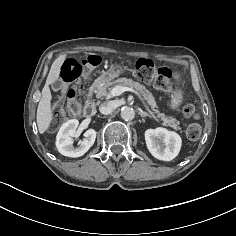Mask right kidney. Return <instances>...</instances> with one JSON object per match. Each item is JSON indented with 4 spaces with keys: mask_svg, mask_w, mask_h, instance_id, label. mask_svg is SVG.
I'll list each match as a JSON object with an SVG mask.
<instances>
[{
    "mask_svg": "<svg viewBox=\"0 0 236 236\" xmlns=\"http://www.w3.org/2000/svg\"><path fill=\"white\" fill-rule=\"evenodd\" d=\"M79 121L76 119L68 120L59 129L56 136V147L58 151L68 157H80L84 155L94 144L96 139V131L88 129L84 133V139L78 147L73 146V137L77 135Z\"/></svg>",
    "mask_w": 236,
    "mask_h": 236,
    "instance_id": "obj_1",
    "label": "right kidney"
}]
</instances>
